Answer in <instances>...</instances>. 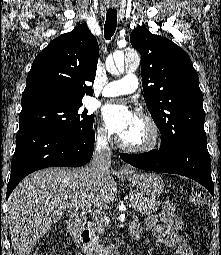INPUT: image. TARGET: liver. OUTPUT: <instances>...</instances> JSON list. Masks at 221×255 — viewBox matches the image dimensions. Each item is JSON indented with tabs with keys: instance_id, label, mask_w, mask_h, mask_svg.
Here are the masks:
<instances>
[{
	"instance_id": "1",
	"label": "liver",
	"mask_w": 221,
	"mask_h": 255,
	"mask_svg": "<svg viewBox=\"0 0 221 255\" xmlns=\"http://www.w3.org/2000/svg\"><path fill=\"white\" fill-rule=\"evenodd\" d=\"M112 171L90 167L47 168L24 178L8 199V222L15 255H30L36 242L63 216L64 209H101L115 198Z\"/></svg>"
}]
</instances>
